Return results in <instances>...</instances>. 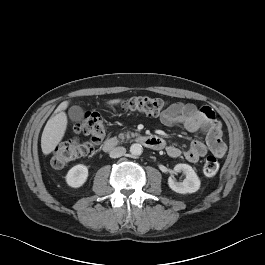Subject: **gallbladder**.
<instances>
[{
	"label": "gallbladder",
	"mask_w": 265,
	"mask_h": 265,
	"mask_svg": "<svg viewBox=\"0 0 265 265\" xmlns=\"http://www.w3.org/2000/svg\"><path fill=\"white\" fill-rule=\"evenodd\" d=\"M68 115L72 121H81L84 117V111L79 106H72L68 111Z\"/></svg>",
	"instance_id": "obj_1"
}]
</instances>
